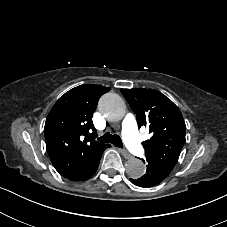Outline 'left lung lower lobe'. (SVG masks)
<instances>
[{
	"instance_id": "obj_1",
	"label": "left lung lower lobe",
	"mask_w": 227,
	"mask_h": 227,
	"mask_svg": "<svg viewBox=\"0 0 227 227\" xmlns=\"http://www.w3.org/2000/svg\"><path fill=\"white\" fill-rule=\"evenodd\" d=\"M143 162H145L143 160ZM146 174L139 179H130L134 185L140 187H152L159 184L164 180L170 173L153 162H147Z\"/></svg>"
}]
</instances>
